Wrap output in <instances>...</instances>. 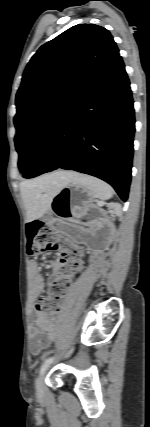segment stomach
Masks as SVG:
<instances>
[{
    "instance_id": "1",
    "label": "stomach",
    "mask_w": 150,
    "mask_h": 427,
    "mask_svg": "<svg viewBox=\"0 0 150 427\" xmlns=\"http://www.w3.org/2000/svg\"><path fill=\"white\" fill-rule=\"evenodd\" d=\"M94 198L95 194L91 190L72 181L57 192L50 208L59 218L74 222L86 214Z\"/></svg>"
}]
</instances>
